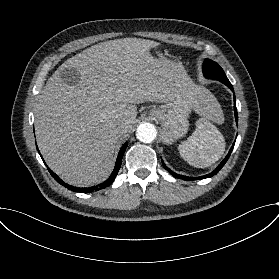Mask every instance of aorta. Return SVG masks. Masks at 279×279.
<instances>
[{
  "label": "aorta",
  "mask_w": 279,
  "mask_h": 279,
  "mask_svg": "<svg viewBox=\"0 0 279 279\" xmlns=\"http://www.w3.org/2000/svg\"><path fill=\"white\" fill-rule=\"evenodd\" d=\"M157 136L156 128L151 123H142L136 130V137L143 143H151Z\"/></svg>",
  "instance_id": "obj_1"
}]
</instances>
